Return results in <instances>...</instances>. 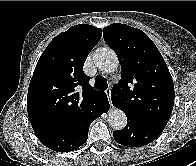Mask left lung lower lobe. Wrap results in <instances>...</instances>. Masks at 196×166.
<instances>
[{"mask_svg": "<svg viewBox=\"0 0 196 166\" xmlns=\"http://www.w3.org/2000/svg\"><path fill=\"white\" fill-rule=\"evenodd\" d=\"M127 125L123 130L114 131L115 141L127 147H140L154 141L162 130L142 125L137 121L127 118Z\"/></svg>", "mask_w": 196, "mask_h": 166, "instance_id": "0a47b994", "label": "left lung lower lobe"}]
</instances>
